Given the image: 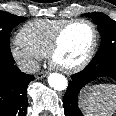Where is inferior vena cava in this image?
<instances>
[{
	"label": "inferior vena cava",
	"instance_id": "602c4592",
	"mask_svg": "<svg viewBox=\"0 0 116 116\" xmlns=\"http://www.w3.org/2000/svg\"><path fill=\"white\" fill-rule=\"evenodd\" d=\"M19 68L22 72L33 74L39 70V65L33 61L21 62Z\"/></svg>",
	"mask_w": 116,
	"mask_h": 116
}]
</instances>
